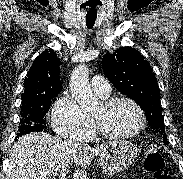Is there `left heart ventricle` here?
Returning <instances> with one entry per match:
<instances>
[{
    "mask_svg": "<svg viewBox=\"0 0 183 179\" xmlns=\"http://www.w3.org/2000/svg\"><path fill=\"white\" fill-rule=\"evenodd\" d=\"M103 128L113 133H127L135 130L140 123L136 109L127 102H119L106 109L102 104L94 112Z\"/></svg>",
    "mask_w": 183,
    "mask_h": 179,
    "instance_id": "1",
    "label": "left heart ventricle"
}]
</instances>
